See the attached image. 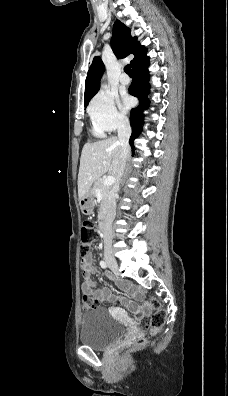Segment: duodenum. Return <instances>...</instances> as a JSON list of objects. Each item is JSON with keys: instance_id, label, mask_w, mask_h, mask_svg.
Wrapping results in <instances>:
<instances>
[{"instance_id": "duodenum-1", "label": "duodenum", "mask_w": 228, "mask_h": 396, "mask_svg": "<svg viewBox=\"0 0 228 396\" xmlns=\"http://www.w3.org/2000/svg\"><path fill=\"white\" fill-rule=\"evenodd\" d=\"M98 227H99L100 231H101L104 235H106V233H107V226H106V219H105L104 217H102V218L99 220Z\"/></svg>"}]
</instances>
